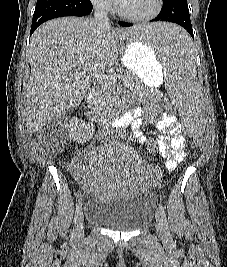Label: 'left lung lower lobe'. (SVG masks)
<instances>
[{"instance_id": "left-lung-lower-lobe-1", "label": "left lung lower lobe", "mask_w": 227, "mask_h": 267, "mask_svg": "<svg viewBox=\"0 0 227 267\" xmlns=\"http://www.w3.org/2000/svg\"><path fill=\"white\" fill-rule=\"evenodd\" d=\"M166 21L173 22L184 27L194 39L193 29L190 21L187 0H163V7L158 16L151 22ZM123 27L132 26V23L120 22ZM175 50L185 47V44L174 41ZM187 47V45H186Z\"/></svg>"}]
</instances>
